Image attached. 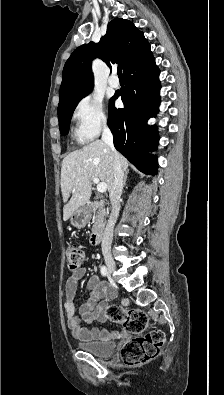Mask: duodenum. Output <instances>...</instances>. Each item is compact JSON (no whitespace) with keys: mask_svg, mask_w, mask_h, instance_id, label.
Instances as JSON below:
<instances>
[{"mask_svg":"<svg viewBox=\"0 0 224 395\" xmlns=\"http://www.w3.org/2000/svg\"><path fill=\"white\" fill-rule=\"evenodd\" d=\"M100 202L103 203L104 200L102 199ZM94 204H95V202H93V201H88V203H87V205H90V206H93ZM102 236H103V229L96 228L90 236V242H91L92 246H97L98 244H100Z\"/></svg>","mask_w":224,"mask_h":395,"instance_id":"duodenum-1","label":"duodenum"}]
</instances>
